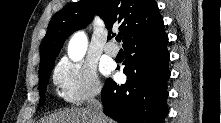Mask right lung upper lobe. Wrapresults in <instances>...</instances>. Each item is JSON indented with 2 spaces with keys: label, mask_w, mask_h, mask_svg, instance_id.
<instances>
[{
  "label": "right lung upper lobe",
  "mask_w": 221,
  "mask_h": 123,
  "mask_svg": "<svg viewBox=\"0 0 221 123\" xmlns=\"http://www.w3.org/2000/svg\"><path fill=\"white\" fill-rule=\"evenodd\" d=\"M95 14L109 29L108 39L115 36L112 28L118 27L124 50L133 42L164 32L163 18L155 0H80L65 6L52 17L41 43L39 70L55 61L65 39L87 26Z\"/></svg>",
  "instance_id": "obj_1"
}]
</instances>
